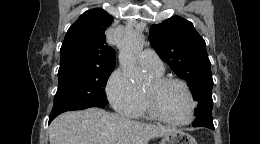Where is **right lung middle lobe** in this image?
I'll use <instances>...</instances> for the list:
<instances>
[{"label":"right lung middle lobe","instance_id":"right-lung-middle-lobe-1","mask_svg":"<svg viewBox=\"0 0 260 144\" xmlns=\"http://www.w3.org/2000/svg\"><path fill=\"white\" fill-rule=\"evenodd\" d=\"M112 71L113 68L59 70V86L50 117L55 118L66 111L107 105L105 86Z\"/></svg>","mask_w":260,"mask_h":144}]
</instances>
